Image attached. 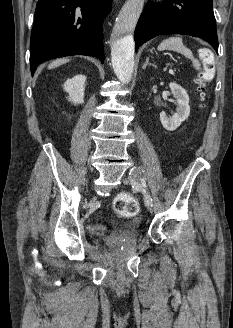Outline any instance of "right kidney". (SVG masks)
Instances as JSON below:
<instances>
[{
  "label": "right kidney",
  "instance_id": "1",
  "mask_svg": "<svg viewBox=\"0 0 233 328\" xmlns=\"http://www.w3.org/2000/svg\"><path fill=\"white\" fill-rule=\"evenodd\" d=\"M85 81L86 76L79 74L65 82L64 90L69 94V101L74 104H81L84 102Z\"/></svg>",
  "mask_w": 233,
  "mask_h": 328
}]
</instances>
